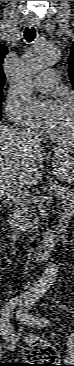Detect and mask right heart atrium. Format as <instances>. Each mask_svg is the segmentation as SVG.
<instances>
[{
	"mask_svg": "<svg viewBox=\"0 0 74 366\" xmlns=\"http://www.w3.org/2000/svg\"><path fill=\"white\" fill-rule=\"evenodd\" d=\"M4 111L7 117L18 127L22 129H31V125L26 118H23L21 113V105L20 102L8 98L4 107Z\"/></svg>",
	"mask_w": 74,
	"mask_h": 366,
	"instance_id": "d8ad5b80",
	"label": "right heart atrium"
}]
</instances>
